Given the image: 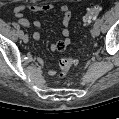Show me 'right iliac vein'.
Here are the masks:
<instances>
[{
  "label": "right iliac vein",
  "instance_id": "right-iliac-vein-1",
  "mask_svg": "<svg viewBox=\"0 0 119 119\" xmlns=\"http://www.w3.org/2000/svg\"><path fill=\"white\" fill-rule=\"evenodd\" d=\"M22 40H23L25 43H27L28 40H29V38H28V36H27L26 34H24V35L22 36Z\"/></svg>",
  "mask_w": 119,
  "mask_h": 119
}]
</instances>
